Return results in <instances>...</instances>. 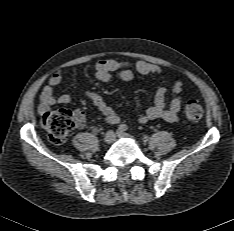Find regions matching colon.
<instances>
[{"label":"colon","mask_w":234,"mask_h":231,"mask_svg":"<svg viewBox=\"0 0 234 231\" xmlns=\"http://www.w3.org/2000/svg\"><path fill=\"white\" fill-rule=\"evenodd\" d=\"M185 114L188 120L199 122L204 116L203 107L197 100H189L185 105ZM42 125L48 132L49 140L61 144L75 127V121L69 110L58 109L46 111L42 116Z\"/></svg>","instance_id":"5ec220e1"}]
</instances>
